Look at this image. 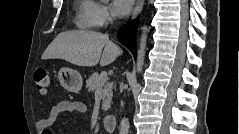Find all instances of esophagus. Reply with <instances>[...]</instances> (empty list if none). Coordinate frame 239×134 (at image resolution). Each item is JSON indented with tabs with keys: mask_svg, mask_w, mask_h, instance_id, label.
Here are the masks:
<instances>
[{
	"mask_svg": "<svg viewBox=\"0 0 239 134\" xmlns=\"http://www.w3.org/2000/svg\"><path fill=\"white\" fill-rule=\"evenodd\" d=\"M143 4H144V0H137L134 10L132 12L131 19H135L138 16V14L142 10Z\"/></svg>",
	"mask_w": 239,
	"mask_h": 134,
	"instance_id": "1",
	"label": "esophagus"
}]
</instances>
